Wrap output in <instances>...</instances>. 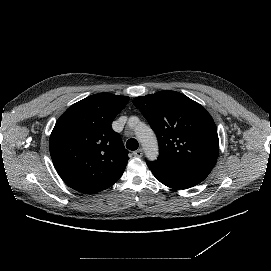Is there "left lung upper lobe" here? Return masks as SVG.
<instances>
[{"mask_svg": "<svg viewBox=\"0 0 271 271\" xmlns=\"http://www.w3.org/2000/svg\"><path fill=\"white\" fill-rule=\"evenodd\" d=\"M133 104L157 135L159 157L214 167L219 152L217 128L200 104L175 91L137 97Z\"/></svg>", "mask_w": 271, "mask_h": 271, "instance_id": "obj_1", "label": "left lung upper lobe"}]
</instances>
